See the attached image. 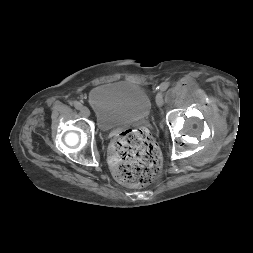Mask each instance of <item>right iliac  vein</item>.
I'll return each instance as SVG.
<instances>
[{
  "label": "right iliac vein",
  "mask_w": 253,
  "mask_h": 253,
  "mask_svg": "<svg viewBox=\"0 0 253 253\" xmlns=\"http://www.w3.org/2000/svg\"><path fill=\"white\" fill-rule=\"evenodd\" d=\"M80 113L84 117H89L90 116V110L87 107H82L80 109Z\"/></svg>",
  "instance_id": "right-iliac-vein-1"
}]
</instances>
